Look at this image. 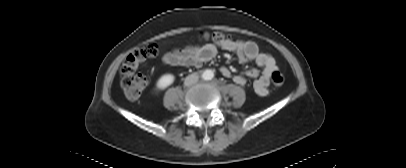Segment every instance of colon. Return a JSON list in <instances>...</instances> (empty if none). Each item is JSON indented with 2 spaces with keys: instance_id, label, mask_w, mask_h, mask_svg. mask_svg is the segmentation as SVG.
Here are the masks:
<instances>
[{
  "instance_id": "colon-1",
  "label": "colon",
  "mask_w": 406,
  "mask_h": 168,
  "mask_svg": "<svg viewBox=\"0 0 406 168\" xmlns=\"http://www.w3.org/2000/svg\"><path fill=\"white\" fill-rule=\"evenodd\" d=\"M202 38L219 46L231 41L222 32L204 33ZM156 54L157 46L153 43L147 44L130 54L122 64L121 87L129 99L135 100L142 94L147 85V78L139 72V69L147 58L154 57ZM271 81L274 86L280 87L284 83V77L278 70H275L271 74Z\"/></svg>"
}]
</instances>
